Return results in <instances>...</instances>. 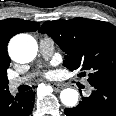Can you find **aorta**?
<instances>
[{
    "label": "aorta",
    "mask_w": 116,
    "mask_h": 116,
    "mask_svg": "<svg viewBox=\"0 0 116 116\" xmlns=\"http://www.w3.org/2000/svg\"><path fill=\"white\" fill-rule=\"evenodd\" d=\"M37 53V42L28 34L15 36L9 44L11 58L19 63H27L33 60ZM61 102L66 107H74L78 102V92L72 88H66L60 93Z\"/></svg>",
    "instance_id": "obj_1"
}]
</instances>
